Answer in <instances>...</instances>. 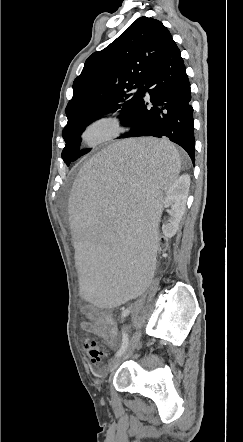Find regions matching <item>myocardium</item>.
Instances as JSON below:
<instances>
[{"mask_svg": "<svg viewBox=\"0 0 243 442\" xmlns=\"http://www.w3.org/2000/svg\"><path fill=\"white\" fill-rule=\"evenodd\" d=\"M102 123L109 124L111 126V131L107 135L96 141H88L86 138V134L89 129L97 124ZM124 129V123L120 115L115 112L103 113L92 118L82 127L79 134V139L81 143L85 146L95 148L118 138L124 132Z\"/></svg>", "mask_w": 243, "mask_h": 442, "instance_id": "obj_1", "label": "myocardium"}]
</instances>
